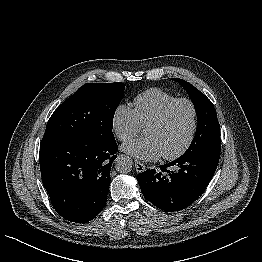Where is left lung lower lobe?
I'll list each match as a JSON object with an SVG mask.
<instances>
[{
	"mask_svg": "<svg viewBox=\"0 0 262 262\" xmlns=\"http://www.w3.org/2000/svg\"><path fill=\"white\" fill-rule=\"evenodd\" d=\"M220 152L182 155L137 176L142 194L164 211H180L191 205L208 186L219 162Z\"/></svg>",
	"mask_w": 262,
	"mask_h": 262,
	"instance_id": "obj_1",
	"label": "left lung lower lobe"
}]
</instances>
